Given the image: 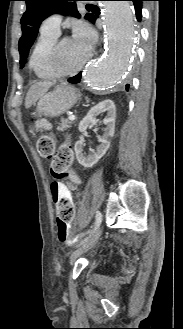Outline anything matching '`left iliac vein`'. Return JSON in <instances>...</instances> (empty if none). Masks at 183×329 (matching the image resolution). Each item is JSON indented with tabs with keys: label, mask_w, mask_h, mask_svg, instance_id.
<instances>
[{
	"label": "left iliac vein",
	"mask_w": 183,
	"mask_h": 329,
	"mask_svg": "<svg viewBox=\"0 0 183 329\" xmlns=\"http://www.w3.org/2000/svg\"><path fill=\"white\" fill-rule=\"evenodd\" d=\"M101 231H102V228L99 225L97 227V229L95 230L93 236L86 243H84L81 247H79L77 250H75L72 253V255L70 257V263L74 262V260L78 256H80L81 254H83L84 252H86L87 250H89L91 247H93L96 244L97 240L100 237Z\"/></svg>",
	"instance_id": "1"
}]
</instances>
